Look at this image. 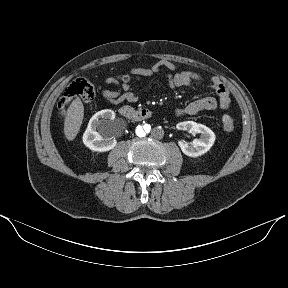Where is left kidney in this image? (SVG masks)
<instances>
[{"label": "left kidney", "instance_id": "obj_1", "mask_svg": "<svg viewBox=\"0 0 288 288\" xmlns=\"http://www.w3.org/2000/svg\"><path fill=\"white\" fill-rule=\"evenodd\" d=\"M177 129L186 130L190 133H199L200 138L194 139L189 145L185 141H179L178 144L182 152L189 157H198L205 154L213 146L215 142L214 132L203 124L193 121H185L177 124Z\"/></svg>", "mask_w": 288, "mask_h": 288}]
</instances>
